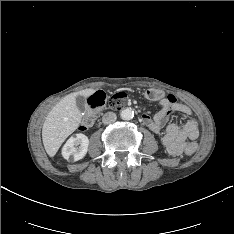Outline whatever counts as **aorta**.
Returning a JSON list of instances; mask_svg holds the SVG:
<instances>
[{
	"mask_svg": "<svg viewBox=\"0 0 234 234\" xmlns=\"http://www.w3.org/2000/svg\"><path fill=\"white\" fill-rule=\"evenodd\" d=\"M120 116L123 120H130L134 117V111L130 108H126L121 111Z\"/></svg>",
	"mask_w": 234,
	"mask_h": 234,
	"instance_id": "1",
	"label": "aorta"
}]
</instances>
